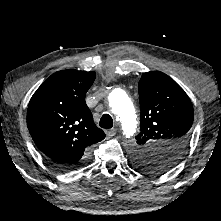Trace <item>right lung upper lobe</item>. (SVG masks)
Instances as JSON below:
<instances>
[{"instance_id": "right-lung-upper-lobe-1", "label": "right lung upper lobe", "mask_w": 221, "mask_h": 221, "mask_svg": "<svg viewBox=\"0 0 221 221\" xmlns=\"http://www.w3.org/2000/svg\"><path fill=\"white\" fill-rule=\"evenodd\" d=\"M94 80L95 72L58 71L32 96L27 126L35 144L51 162L72 164L84 160L90 147L105 138L85 102Z\"/></svg>"}]
</instances>
